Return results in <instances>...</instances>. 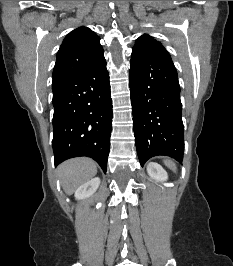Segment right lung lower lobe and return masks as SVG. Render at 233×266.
<instances>
[{"label": "right lung lower lobe", "mask_w": 233, "mask_h": 266, "mask_svg": "<svg viewBox=\"0 0 233 266\" xmlns=\"http://www.w3.org/2000/svg\"><path fill=\"white\" fill-rule=\"evenodd\" d=\"M52 89L55 166L69 158L87 156L106 173L113 112L104 56Z\"/></svg>", "instance_id": "obj_1"}]
</instances>
